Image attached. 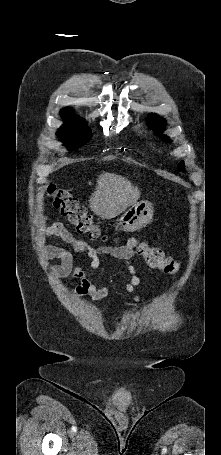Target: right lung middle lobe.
I'll return each instance as SVG.
<instances>
[{
    "mask_svg": "<svg viewBox=\"0 0 221 455\" xmlns=\"http://www.w3.org/2000/svg\"><path fill=\"white\" fill-rule=\"evenodd\" d=\"M57 135L69 150H76L85 145L91 137L90 130L84 123L67 122L58 130Z\"/></svg>",
    "mask_w": 221,
    "mask_h": 455,
    "instance_id": "dd1d6c3e",
    "label": "right lung middle lobe"
}]
</instances>
